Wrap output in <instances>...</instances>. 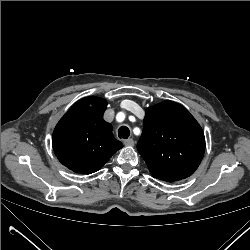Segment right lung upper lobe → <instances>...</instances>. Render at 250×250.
<instances>
[{
	"label": "right lung upper lobe",
	"instance_id": "cb5924a9",
	"mask_svg": "<svg viewBox=\"0 0 250 250\" xmlns=\"http://www.w3.org/2000/svg\"><path fill=\"white\" fill-rule=\"evenodd\" d=\"M107 101L86 97L76 102L56 125L52 146L59 161L74 172L91 174L123 147L103 119Z\"/></svg>",
	"mask_w": 250,
	"mask_h": 250
}]
</instances>
